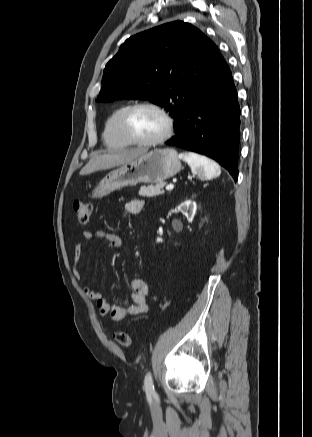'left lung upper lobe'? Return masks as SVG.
<instances>
[{"instance_id": "obj_1", "label": "left lung upper lobe", "mask_w": 312, "mask_h": 437, "mask_svg": "<svg viewBox=\"0 0 312 437\" xmlns=\"http://www.w3.org/2000/svg\"><path fill=\"white\" fill-rule=\"evenodd\" d=\"M223 58L200 30L182 21L136 34L106 64L98 102L144 99L179 123L190 102L219 70Z\"/></svg>"}]
</instances>
